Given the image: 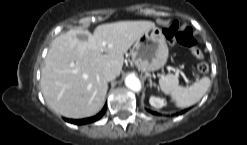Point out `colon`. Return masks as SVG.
Instances as JSON below:
<instances>
[{
  "mask_svg": "<svg viewBox=\"0 0 247 145\" xmlns=\"http://www.w3.org/2000/svg\"><path fill=\"white\" fill-rule=\"evenodd\" d=\"M163 34L169 42L185 46L191 50L192 54L197 59H203V53L197 45V39L191 28H180L178 22H173L164 29ZM197 69L200 73L206 74L209 71V65L206 62L201 61L198 64Z\"/></svg>",
  "mask_w": 247,
  "mask_h": 145,
  "instance_id": "1",
  "label": "colon"
}]
</instances>
